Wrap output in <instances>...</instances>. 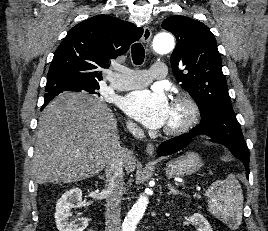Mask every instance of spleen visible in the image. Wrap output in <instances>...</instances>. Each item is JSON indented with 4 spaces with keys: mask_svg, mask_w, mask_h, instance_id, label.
I'll return each mask as SVG.
<instances>
[{
    "mask_svg": "<svg viewBox=\"0 0 268 231\" xmlns=\"http://www.w3.org/2000/svg\"><path fill=\"white\" fill-rule=\"evenodd\" d=\"M211 214L232 229L242 223L243 193L241 185L233 174L225 180H217L206 191Z\"/></svg>",
    "mask_w": 268,
    "mask_h": 231,
    "instance_id": "3e777b00",
    "label": "spleen"
}]
</instances>
